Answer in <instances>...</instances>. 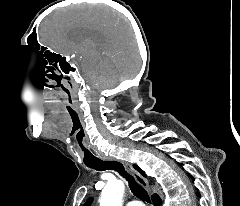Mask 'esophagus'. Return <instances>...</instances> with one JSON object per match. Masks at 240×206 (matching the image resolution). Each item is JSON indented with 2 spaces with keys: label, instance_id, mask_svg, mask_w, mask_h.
Returning a JSON list of instances; mask_svg holds the SVG:
<instances>
[{
  "label": "esophagus",
  "instance_id": "1",
  "mask_svg": "<svg viewBox=\"0 0 240 206\" xmlns=\"http://www.w3.org/2000/svg\"><path fill=\"white\" fill-rule=\"evenodd\" d=\"M102 159L104 161H108V162H110V161H118L116 158L106 157V156H103ZM121 162L125 166V168L133 175V177L138 182V184H140L149 193H151V189H150L148 180L145 179L138 171H136L130 163L124 162V161H121Z\"/></svg>",
  "mask_w": 240,
  "mask_h": 206
}]
</instances>
